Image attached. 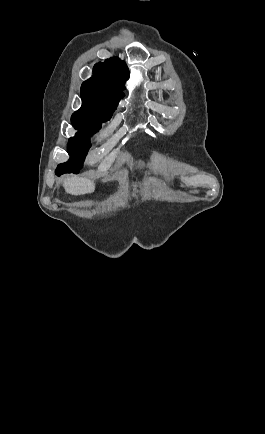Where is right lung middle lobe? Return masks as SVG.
I'll use <instances>...</instances> for the list:
<instances>
[{"label": "right lung middle lobe", "instance_id": "obj_1", "mask_svg": "<svg viewBox=\"0 0 265 434\" xmlns=\"http://www.w3.org/2000/svg\"><path fill=\"white\" fill-rule=\"evenodd\" d=\"M82 107L71 118L73 126L78 130L75 137L70 138L68 153L70 160L58 165L56 170L77 173L91 146L89 137L95 134L101 123L109 120L117 107L116 102L109 101L92 93H81Z\"/></svg>", "mask_w": 265, "mask_h": 434}]
</instances>
